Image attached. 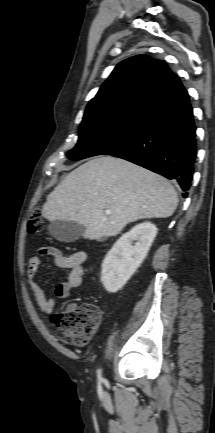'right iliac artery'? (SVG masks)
I'll list each match as a JSON object with an SVG mask.
<instances>
[{"label": "right iliac artery", "mask_w": 215, "mask_h": 433, "mask_svg": "<svg viewBox=\"0 0 215 433\" xmlns=\"http://www.w3.org/2000/svg\"><path fill=\"white\" fill-rule=\"evenodd\" d=\"M98 380L103 381L102 375H101V369L98 370Z\"/></svg>", "instance_id": "right-iliac-artery-1"}]
</instances>
